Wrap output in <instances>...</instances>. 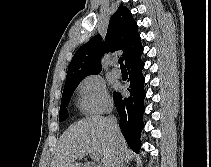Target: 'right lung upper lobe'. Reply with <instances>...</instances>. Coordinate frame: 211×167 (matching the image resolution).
Returning <instances> with one entry per match:
<instances>
[{"mask_svg": "<svg viewBox=\"0 0 211 167\" xmlns=\"http://www.w3.org/2000/svg\"><path fill=\"white\" fill-rule=\"evenodd\" d=\"M123 50L126 66L141 57L143 47L137 31V23L125 6H119L111 16L103 43L101 36L92 37L73 56L68 68L66 82L83 79L101 72V57L105 51Z\"/></svg>", "mask_w": 211, "mask_h": 167, "instance_id": "cb5924a9", "label": "right lung upper lobe"}]
</instances>
